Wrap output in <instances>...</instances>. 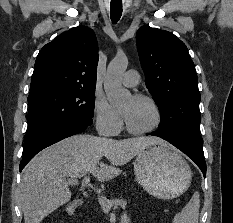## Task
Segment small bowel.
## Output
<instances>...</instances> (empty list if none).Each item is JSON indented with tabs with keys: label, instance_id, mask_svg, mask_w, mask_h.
Here are the masks:
<instances>
[{
	"label": "small bowel",
	"instance_id": "small-bowel-1",
	"mask_svg": "<svg viewBox=\"0 0 233 223\" xmlns=\"http://www.w3.org/2000/svg\"><path fill=\"white\" fill-rule=\"evenodd\" d=\"M121 223H132L130 216L125 213L121 218Z\"/></svg>",
	"mask_w": 233,
	"mask_h": 223
}]
</instances>
